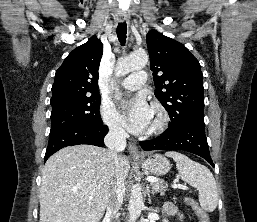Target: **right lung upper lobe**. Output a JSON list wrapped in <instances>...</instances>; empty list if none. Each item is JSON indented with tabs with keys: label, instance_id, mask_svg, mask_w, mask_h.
<instances>
[{
	"label": "right lung upper lobe",
	"instance_id": "cb5924a9",
	"mask_svg": "<svg viewBox=\"0 0 257 222\" xmlns=\"http://www.w3.org/2000/svg\"><path fill=\"white\" fill-rule=\"evenodd\" d=\"M102 54L103 44L96 36L71 51L55 73L51 100L99 95Z\"/></svg>",
	"mask_w": 257,
	"mask_h": 222
}]
</instances>
